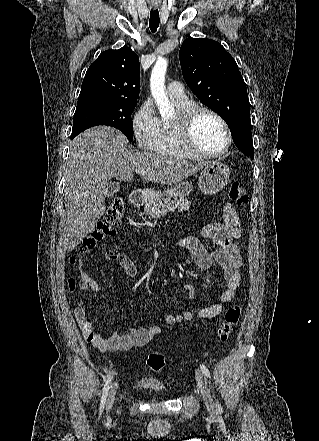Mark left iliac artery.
<instances>
[{
  "mask_svg": "<svg viewBox=\"0 0 319 441\" xmlns=\"http://www.w3.org/2000/svg\"><path fill=\"white\" fill-rule=\"evenodd\" d=\"M200 368H201L202 372H203L207 377L210 378V372H209L208 368H207L204 364H201V365H200ZM216 407H217V409H218L219 411L222 409V408H221V405L219 404L218 401H217V403H216Z\"/></svg>",
  "mask_w": 319,
  "mask_h": 441,
  "instance_id": "left-iliac-artery-1",
  "label": "left iliac artery"
}]
</instances>
